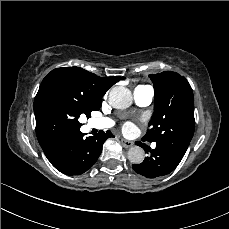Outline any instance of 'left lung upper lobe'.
Wrapping results in <instances>:
<instances>
[{"mask_svg":"<svg viewBox=\"0 0 229 229\" xmlns=\"http://www.w3.org/2000/svg\"><path fill=\"white\" fill-rule=\"evenodd\" d=\"M149 78L155 90L154 114L142 140L166 145L183 157L194 134L192 88L184 76L172 71Z\"/></svg>","mask_w":229,"mask_h":229,"instance_id":"5c2ea615","label":"left lung upper lobe"}]
</instances>
